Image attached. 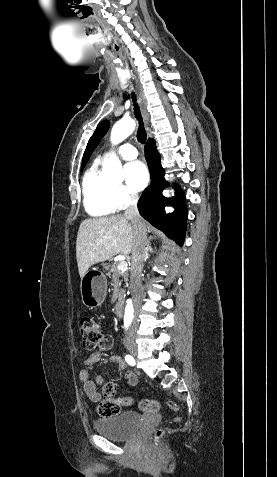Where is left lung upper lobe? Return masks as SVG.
<instances>
[{
    "label": "left lung upper lobe",
    "instance_id": "left-lung-upper-lobe-1",
    "mask_svg": "<svg viewBox=\"0 0 277 477\" xmlns=\"http://www.w3.org/2000/svg\"><path fill=\"white\" fill-rule=\"evenodd\" d=\"M108 128H109V122L107 120L102 121L97 126L95 132L93 133V135L91 136V138L88 141L86 150L84 152L83 162H82V167L81 168H83L85 166V164L87 163L90 155L95 150V148L97 147V145L99 144V142L103 138V136L106 134Z\"/></svg>",
    "mask_w": 277,
    "mask_h": 477
}]
</instances>
